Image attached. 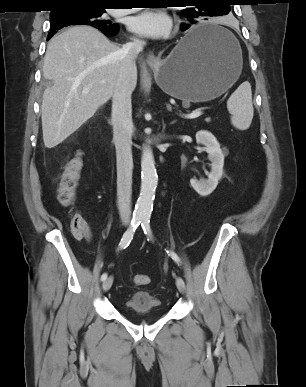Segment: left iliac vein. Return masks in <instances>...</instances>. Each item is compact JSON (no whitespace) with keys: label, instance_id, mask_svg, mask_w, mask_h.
I'll return each instance as SVG.
<instances>
[{"label":"left iliac vein","instance_id":"4c4485c4","mask_svg":"<svg viewBox=\"0 0 306 387\" xmlns=\"http://www.w3.org/2000/svg\"><path fill=\"white\" fill-rule=\"evenodd\" d=\"M176 286L178 288V290L181 292V293H184L185 292V282L184 280L181 278V277H178L176 279Z\"/></svg>","mask_w":306,"mask_h":387}]
</instances>
